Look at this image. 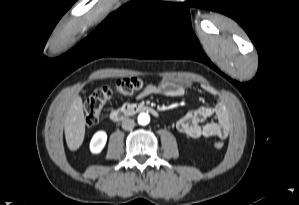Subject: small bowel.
<instances>
[{
  "label": "small bowel",
  "mask_w": 299,
  "mask_h": 205,
  "mask_svg": "<svg viewBox=\"0 0 299 205\" xmlns=\"http://www.w3.org/2000/svg\"><path fill=\"white\" fill-rule=\"evenodd\" d=\"M191 81L184 77H165L159 86L148 84L137 95L142 99L153 94H162L167 97L183 96L191 86ZM203 90L211 96H216V91L210 86L204 85ZM214 116L215 120L201 124L207 118ZM177 130L190 138L224 139L231 128V120L228 107L224 100H219L213 107L198 108L176 123Z\"/></svg>",
  "instance_id": "1"
}]
</instances>
